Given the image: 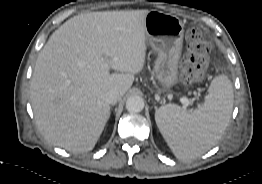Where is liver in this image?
Wrapping results in <instances>:
<instances>
[{
  "mask_svg": "<svg viewBox=\"0 0 262 184\" xmlns=\"http://www.w3.org/2000/svg\"><path fill=\"white\" fill-rule=\"evenodd\" d=\"M148 12L81 14L53 32L30 84L35 121L46 140L73 153L95 147L110 117L106 93L117 90L121 98L144 67Z\"/></svg>",
  "mask_w": 262,
  "mask_h": 184,
  "instance_id": "obj_1",
  "label": "liver"
}]
</instances>
